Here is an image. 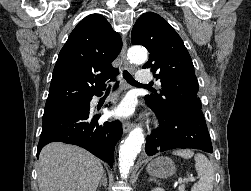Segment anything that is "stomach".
Listing matches in <instances>:
<instances>
[{
  "instance_id": "1",
  "label": "stomach",
  "mask_w": 251,
  "mask_h": 191,
  "mask_svg": "<svg viewBox=\"0 0 251 191\" xmlns=\"http://www.w3.org/2000/svg\"><path fill=\"white\" fill-rule=\"evenodd\" d=\"M146 169L149 175H155V177H169L176 171L174 161L170 157H164V155L152 159Z\"/></svg>"
}]
</instances>
